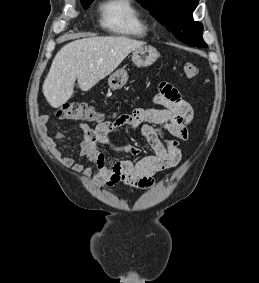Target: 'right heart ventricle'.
Returning <instances> with one entry per match:
<instances>
[{
    "mask_svg": "<svg viewBox=\"0 0 259 283\" xmlns=\"http://www.w3.org/2000/svg\"><path fill=\"white\" fill-rule=\"evenodd\" d=\"M103 25L111 32L145 37L150 25L143 12L132 0H107L102 6Z\"/></svg>",
    "mask_w": 259,
    "mask_h": 283,
    "instance_id": "obj_1",
    "label": "right heart ventricle"
}]
</instances>
